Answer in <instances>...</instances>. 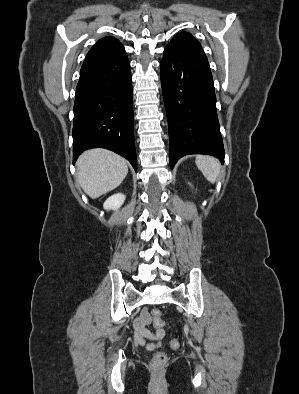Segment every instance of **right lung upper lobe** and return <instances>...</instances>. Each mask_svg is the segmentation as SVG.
I'll use <instances>...</instances> for the list:
<instances>
[{
	"instance_id": "obj_1",
	"label": "right lung upper lobe",
	"mask_w": 299,
	"mask_h": 394,
	"mask_svg": "<svg viewBox=\"0 0 299 394\" xmlns=\"http://www.w3.org/2000/svg\"><path fill=\"white\" fill-rule=\"evenodd\" d=\"M123 45L113 37L100 39L88 52L83 65L125 57Z\"/></svg>"
}]
</instances>
